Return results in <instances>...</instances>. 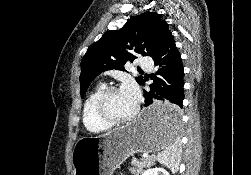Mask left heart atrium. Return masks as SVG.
Returning <instances> with one entry per match:
<instances>
[{
  "mask_svg": "<svg viewBox=\"0 0 251 175\" xmlns=\"http://www.w3.org/2000/svg\"><path fill=\"white\" fill-rule=\"evenodd\" d=\"M121 95L128 105L135 109L140 101V92L137 85L132 80H126L121 89Z\"/></svg>",
  "mask_w": 251,
  "mask_h": 175,
  "instance_id": "left-heart-atrium-1",
  "label": "left heart atrium"
}]
</instances>
